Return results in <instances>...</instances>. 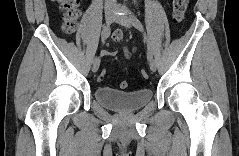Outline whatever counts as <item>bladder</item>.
Wrapping results in <instances>:
<instances>
[{"mask_svg": "<svg viewBox=\"0 0 239 156\" xmlns=\"http://www.w3.org/2000/svg\"><path fill=\"white\" fill-rule=\"evenodd\" d=\"M94 98L108 109L130 112L140 110L148 104L152 99V92L148 88L124 92L110 87H97L94 90Z\"/></svg>", "mask_w": 239, "mask_h": 156, "instance_id": "bladder-1", "label": "bladder"}]
</instances>
